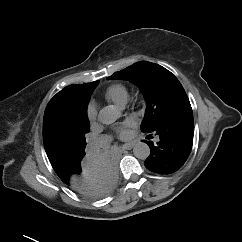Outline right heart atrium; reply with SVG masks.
<instances>
[{
  "mask_svg": "<svg viewBox=\"0 0 242 242\" xmlns=\"http://www.w3.org/2000/svg\"><path fill=\"white\" fill-rule=\"evenodd\" d=\"M86 115L90 122H93L97 117V109L94 104L90 103L86 109Z\"/></svg>",
  "mask_w": 242,
  "mask_h": 242,
  "instance_id": "obj_1",
  "label": "right heart atrium"
}]
</instances>
